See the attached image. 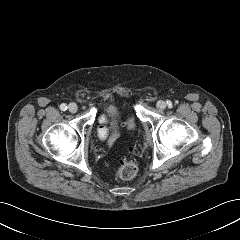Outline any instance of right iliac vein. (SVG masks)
I'll return each instance as SVG.
<instances>
[{
	"label": "right iliac vein",
	"mask_w": 240,
	"mask_h": 240,
	"mask_svg": "<svg viewBox=\"0 0 240 240\" xmlns=\"http://www.w3.org/2000/svg\"><path fill=\"white\" fill-rule=\"evenodd\" d=\"M68 110L71 113H76L77 110H78V106L75 103H70L69 106H68Z\"/></svg>",
	"instance_id": "obj_1"
}]
</instances>
